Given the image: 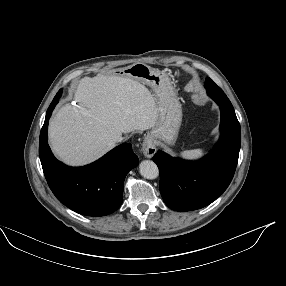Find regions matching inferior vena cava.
I'll return each instance as SVG.
<instances>
[{"label": "inferior vena cava", "mask_w": 286, "mask_h": 286, "mask_svg": "<svg viewBox=\"0 0 286 286\" xmlns=\"http://www.w3.org/2000/svg\"><path fill=\"white\" fill-rule=\"evenodd\" d=\"M123 139L124 138L120 136V137L116 138L115 142H121V141H123Z\"/></svg>", "instance_id": "inferior-vena-cava-1"}]
</instances>
